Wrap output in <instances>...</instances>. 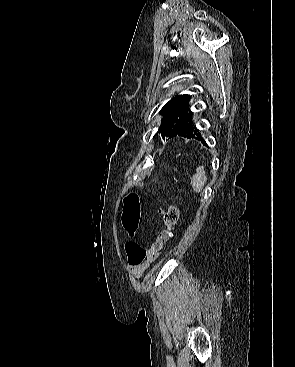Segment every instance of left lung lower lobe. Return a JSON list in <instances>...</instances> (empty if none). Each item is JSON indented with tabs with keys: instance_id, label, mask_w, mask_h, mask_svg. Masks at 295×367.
I'll use <instances>...</instances> for the list:
<instances>
[{
	"instance_id": "0a47b994",
	"label": "left lung lower lobe",
	"mask_w": 295,
	"mask_h": 367,
	"mask_svg": "<svg viewBox=\"0 0 295 367\" xmlns=\"http://www.w3.org/2000/svg\"><path fill=\"white\" fill-rule=\"evenodd\" d=\"M193 112H189L186 118L181 122V124L174 130L172 137L180 136L188 139H197L202 141V143L206 144L204 139L201 137V133L199 129L192 123ZM207 145V144H206Z\"/></svg>"
}]
</instances>
